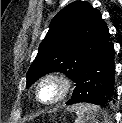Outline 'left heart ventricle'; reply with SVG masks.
Masks as SVG:
<instances>
[{
    "label": "left heart ventricle",
    "instance_id": "1",
    "mask_svg": "<svg viewBox=\"0 0 122 123\" xmlns=\"http://www.w3.org/2000/svg\"><path fill=\"white\" fill-rule=\"evenodd\" d=\"M60 93V85L56 81L45 82L40 89V97L44 101L56 98Z\"/></svg>",
    "mask_w": 122,
    "mask_h": 123
}]
</instances>
